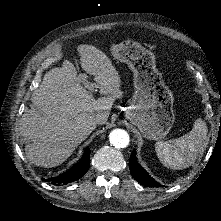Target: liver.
I'll return each mask as SVG.
<instances>
[{
  "instance_id": "1",
  "label": "liver",
  "mask_w": 221,
  "mask_h": 221,
  "mask_svg": "<svg viewBox=\"0 0 221 221\" xmlns=\"http://www.w3.org/2000/svg\"><path fill=\"white\" fill-rule=\"evenodd\" d=\"M78 50L82 69L94 76L100 94L105 96L96 100L89 94L68 61L44 75L31 97L35 108L27 110L20 120L26 157L37 166L62 164L95 129L89 117L99 115L96 124H105L114 100L122 95L120 77L106 54L94 46Z\"/></svg>"
}]
</instances>
